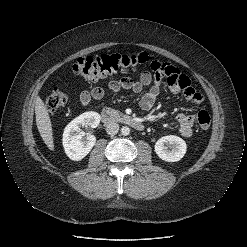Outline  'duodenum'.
Returning <instances> with one entry per match:
<instances>
[{
  "instance_id": "1",
  "label": "duodenum",
  "mask_w": 247,
  "mask_h": 247,
  "mask_svg": "<svg viewBox=\"0 0 247 247\" xmlns=\"http://www.w3.org/2000/svg\"><path fill=\"white\" fill-rule=\"evenodd\" d=\"M101 120L106 123V124H110V123H114V122H117V121H120L138 131H142L144 130V124L133 118V117H130V116H123V117H120L118 115H116L111 109L109 108H106L104 109L102 112H101Z\"/></svg>"
}]
</instances>
